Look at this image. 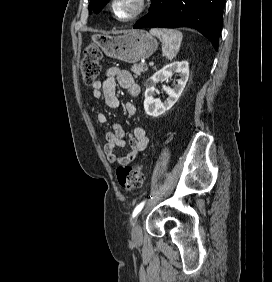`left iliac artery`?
<instances>
[{
    "label": "left iliac artery",
    "instance_id": "obj_1",
    "mask_svg": "<svg viewBox=\"0 0 272 282\" xmlns=\"http://www.w3.org/2000/svg\"><path fill=\"white\" fill-rule=\"evenodd\" d=\"M145 204V201L141 202L139 205H137L132 213V218H135L138 213L142 210L143 206Z\"/></svg>",
    "mask_w": 272,
    "mask_h": 282
}]
</instances>
